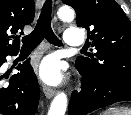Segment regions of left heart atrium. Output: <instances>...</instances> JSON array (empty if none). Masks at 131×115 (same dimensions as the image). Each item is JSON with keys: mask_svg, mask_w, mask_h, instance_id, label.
Here are the masks:
<instances>
[{"mask_svg": "<svg viewBox=\"0 0 131 115\" xmlns=\"http://www.w3.org/2000/svg\"><path fill=\"white\" fill-rule=\"evenodd\" d=\"M40 75L48 83H57L61 78L58 62L53 59L45 60L41 65Z\"/></svg>", "mask_w": 131, "mask_h": 115, "instance_id": "39dd6f15", "label": "left heart atrium"}]
</instances>
